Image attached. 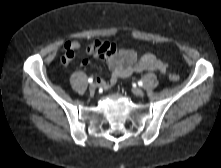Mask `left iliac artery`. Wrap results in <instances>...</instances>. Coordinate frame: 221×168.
<instances>
[{
  "mask_svg": "<svg viewBox=\"0 0 221 168\" xmlns=\"http://www.w3.org/2000/svg\"><path fill=\"white\" fill-rule=\"evenodd\" d=\"M138 85H139V86H142V85H143V82H142V81H139V82H138Z\"/></svg>",
  "mask_w": 221,
  "mask_h": 168,
  "instance_id": "1",
  "label": "left iliac artery"
}]
</instances>
